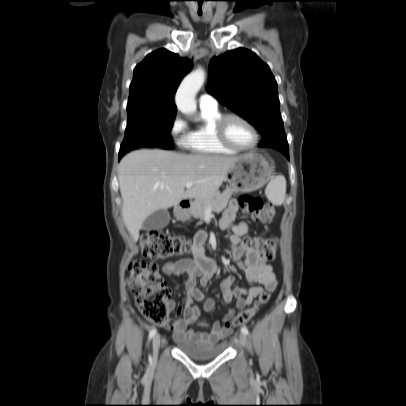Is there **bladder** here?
Returning a JSON list of instances; mask_svg holds the SVG:
<instances>
[{
  "label": "bladder",
  "mask_w": 406,
  "mask_h": 406,
  "mask_svg": "<svg viewBox=\"0 0 406 406\" xmlns=\"http://www.w3.org/2000/svg\"><path fill=\"white\" fill-rule=\"evenodd\" d=\"M178 349L186 356L198 360L207 361L219 356L223 350L224 346L211 343L196 345L188 342H176Z\"/></svg>",
  "instance_id": "1"
}]
</instances>
